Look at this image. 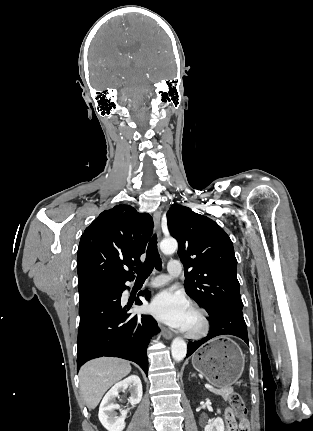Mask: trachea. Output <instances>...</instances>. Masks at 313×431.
<instances>
[{"label": "trachea", "instance_id": "obj_1", "mask_svg": "<svg viewBox=\"0 0 313 431\" xmlns=\"http://www.w3.org/2000/svg\"><path fill=\"white\" fill-rule=\"evenodd\" d=\"M161 266L162 262L157 248V236L154 234L148 244L145 262L134 269L137 273V279H147L154 267L160 269Z\"/></svg>", "mask_w": 313, "mask_h": 431}]
</instances>
